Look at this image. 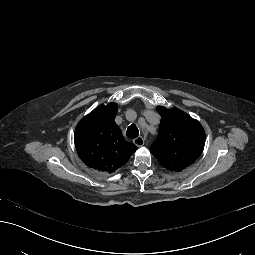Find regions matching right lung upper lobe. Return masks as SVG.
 Instances as JSON below:
<instances>
[{
	"instance_id": "cb5924a9",
	"label": "right lung upper lobe",
	"mask_w": 255,
	"mask_h": 255,
	"mask_svg": "<svg viewBox=\"0 0 255 255\" xmlns=\"http://www.w3.org/2000/svg\"><path fill=\"white\" fill-rule=\"evenodd\" d=\"M117 104L99 106L76 126L74 141L81 160L90 168L115 172L127 163L137 150L132 142L124 140L115 123Z\"/></svg>"
}]
</instances>
